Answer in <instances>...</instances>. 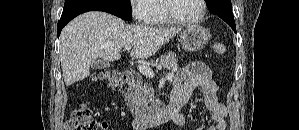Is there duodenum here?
I'll return each instance as SVG.
<instances>
[{"label": "duodenum", "instance_id": "1", "mask_svg": "<svg viewBox=\"0 0 299 130\" xmlns=\"http://www.w3.org/2000/svg\"><path fill=\"white\" fill-rule=\"evenodd\" d=\"M124 78L128 85H131L135 80L134 73L131 70L124 72ZM187 100L188 96L184 94H172L168 104L156 113L144 117H136L133 121L135 129L144 130L174 120Z\"/></svg>", "mask_w": 299, "mask_h": 130}]
</instances>
